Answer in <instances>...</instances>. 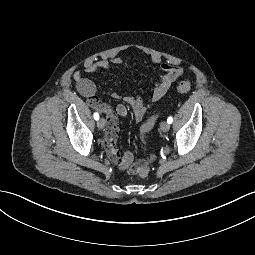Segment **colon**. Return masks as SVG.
Wrapping results in <instances>:
<instances>
[{
    "mask_svg": "<svg viewBox=\"0 0 255 255\" xmlns=\"http://www.w3.org/2000/svg\"><path fill=\"white\" fill-rule=\"evenodd\" d=\"M191 89V84L189 81H181L177 84L176 90L177 92L184 94L189 92ZM157 114L152 115L145 123H143L140 127V133L143 141H146L147 135L154 128L157 121ZM149 174V168L146 165H141L138 169V175L141 178L147 177Z\"/></svg>",
    "mask_w": 255,
    "mask_h": 255,
    "instance_id": "5ec220e1",
    "label": "colon"
}]
</instances>
